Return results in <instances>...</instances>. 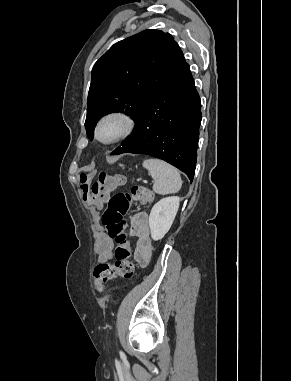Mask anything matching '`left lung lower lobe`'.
<instances>
[{
    "label": "left lung lower lobe",
    "instance_id": "1",
    "mask_svg": "<svg viewBox=\"0 0 291 381\" xmlns=\"http://www.w3.org/2000/svg\"><path fill=\"white\" fill-rule=\"evenodd\" d=\"M201 103L189 65L178 71L149 99L133 133L111 154H147L160 158L192 182L197 161Z\"/></svg>",
    "mask_w": 291,
    "mask_h": 381
}]
</instances>
